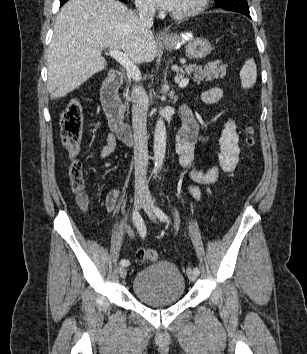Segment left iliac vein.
I'll return each instance as SVG.
<instances>
[{
	"label": "left iliac vein",
	"mask_w": 307,
	"mask_h": 354,
	"mask_svg": "<svg viewBox=\"0 0 307 354\" xmlns=\"http://www.w3.org/2000/svg\"><path fill=\"white\" fill-rule=\"evenodd\" d=\"M143 208H144L145 212L147 213V215L149 216V218L152 221H156L154 205H153V202L150 198H147L145 200V204H144ZM187 276L191 281H196V279H197V274H195L191 268L187 269Z\"/></svg>",
	"instance_id": "1"
}]
</instances>
